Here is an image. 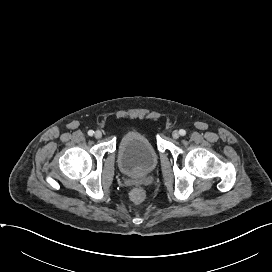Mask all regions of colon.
I'll return each instance as SVG.
<instances>
[{"mask_svg":"<svg viewBox=\"0 0 272 272\" xmlns=\"http://www.w3.org/2000/svg\"><path fill=\"white\" fill-rule=\"evenodd\" d=\"M130 196L135 203H142L145 200L146 195L143 189L135 188L131 191Z\"/></svg>","mask_w":272,"mask_h":272,"instance_id":"5ec220e1","label":"colon"}]
</instances>
